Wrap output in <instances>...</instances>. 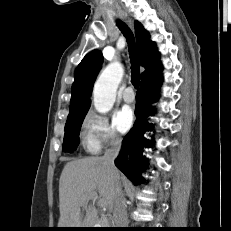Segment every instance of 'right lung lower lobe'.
<instances>
[{
	"instance_id": "obj_1",
	"label": "right lung lower lobe",
	"mask_w": 231,
	"mask_h": 231,
	"mask_svg": "<svg viewBox=\"0 0 231 231\" xmlns=\"http://www.w3.org/2000/svg\"><path fill=\"white\" fill-rule=\"evenodd\" d=\"M162 78L156 76L141 81L140 89L136 95L135 115L137 117L133 128L124 137L120 154L115 160L116 167L121 170L134 184L145 182L140 173L147 166V159L142 155L143 148L151 146L144 137L146 131L152 129V124L147 118L154 113L151 103L158 98L157 88L161 85ZM153 143V141H151Z\"/></svg>"
}]
</instances>
